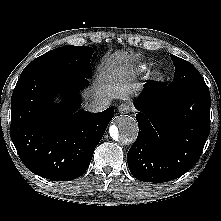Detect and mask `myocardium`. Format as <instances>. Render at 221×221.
Instances as JSON below:
<instances>
[{"label":"myocardium","instance_id":"obj_1","mask_svg":"<svg viewBox=\"0 0 221 221\" xmlns=\"http://www.w3.org/2000/svg\"><path fill=\"white\" fill-rule=\"evenodd\" d=\"M154 75H155L156 77H159V76H160V72H159V71H155V72H154Z\"/></svg>","mask_w":221,"mask_h":221}]
</instances>
